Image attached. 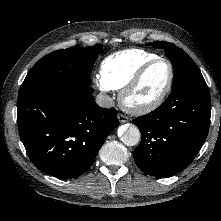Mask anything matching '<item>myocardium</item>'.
<instances>
[{
    "mask_svg": "<svg viewBox=\"0 0 221 221\" xmlns=\"http://www.w3.org/2000/svg\"><path fill=\"white\" fill-rule=\"evenodd\" d=\"M159 62H165L169 66V78L166 86L162 90V92L152 101L143 103V104H132L129 102V97L133 93V91L137 88L145 74L149 71V69ZM175 77V71L173 64L171 61L164 57H157L148 62H146L143 66H141L137 72L133 75V77L128 81V83L121 89L120 92V103L121 106L128 112L133 114H146L155 109H157L167 98L170 93Z\"/></svg>",
    "mask_w": 221,
    "mask_h": 221,
    "instance_id": "myocardium-1",
    "label": "myocardium"
}]
</instances>
